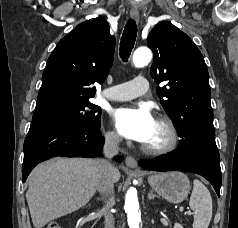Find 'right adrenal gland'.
Masks as SVG:
<instances>
[{
    "label": "right adrenal gland",
    "mask_w": 238,
    "mask_h": 228,
    "mask_svg": "<svg viewBox=\"0 0 238 228\" xmlns=\"http://www.w3.org/2000/svg\"><path fill=\"white\" fill-rule=\"evenodd\" d=\"M102 198H97V200H101Z\"/></svg>",
    "instance_id": "2a0ac1e0"
}]
</instances>
